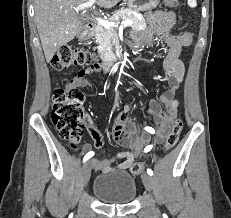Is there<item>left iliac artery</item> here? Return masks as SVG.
Listing matches in <instances>:
<instances>
[{
    "label": "left iliac artery",
    "mask_w": 231,
    "mask_h": 218,
    "mask_svg": "<svg viewBox=\"0 0 231 218\" xmlns=\"http://www.w3.org/2000/svg\"><path fill=\"white\" fill-rule=\"evenodd\" d=\"M145 130L151 134H155V130L152 127H145ZM153 145H148L145 147L144 152H149L152 149ZM147 173L152 176L153 171L151 169H147Z\"/></svg>",
    "instance_id": "left-iliac-artery-1"
}]
</instances>
